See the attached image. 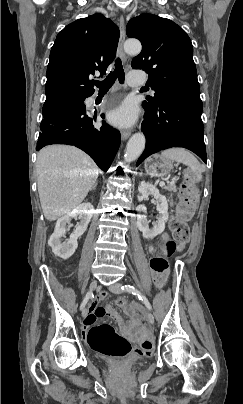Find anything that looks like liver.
<instances>
[{"instance_id":"1","label":"liver","mask_w":243,"mask_h":404,"mask_svg":"<svg viewBox=\"0 0 243 404\" xmlns=\"http://www.w3.org/2000/svg\"><path fill=\"white\" fill-rule=\"evenodd\" d=\"M36 174L43 214L53 222L80 206L94 186L99 168L74 146H46L37 156Z\"/></svg>"}]
</instances>
